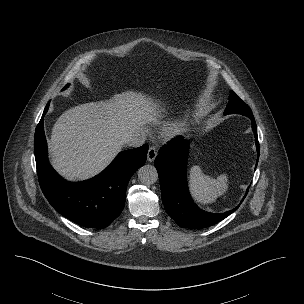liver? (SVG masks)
I'll return each mask as SVG.
<instances>
[{
  "mask_svg": "<svg viewBox=\"0 0 304 304\" xmlns=\"http://www.w3.org/2000/svg\"><path fill=\"white\" fill-rule=\"evenodd\" d=\"M161 111L132 90L66 110L52 128L51 164L68 180L88 179L114 159L131 132L158 123Z\"/></svg>",
  "mask_w": 304,
  "mask_h": 304,
  "instance_id": "6515ba94",
  "label": "liver"
}]
</instances>
